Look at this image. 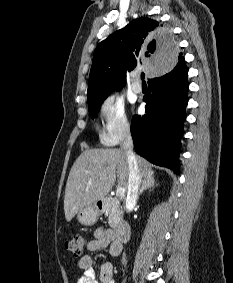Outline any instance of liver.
<instances>
[{
  "label": "liver",
  "mask_w": 233,
  "mask_h": 283,
  "mask_svg": "<svg viewBox=\"0 0 233 283\" xmlns=\"http://www.w3.org/2000/svg\"><path fill=\"white\" fill-rule=\"evenodd\" d=\"M141 177L153 175L151 164L136 156ZM116 178L121 187L128 188L129 166L123 149L85 150L74 162L66 183L64 212L67 221L83 208L106 197Z\"/></svg>",
  "instance_id": "1"
}]
</instances>
